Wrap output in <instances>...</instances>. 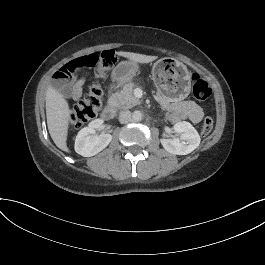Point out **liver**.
<instances>
[{
	"mask_svg": "<svg viewBox=\"0 0 265 265\" xmlns=\"http://www.w3.org/2000/svg\"><path fill=\"white\" fill-rule=\"evenodd\" d=\"M115 55L136 64H149L158 59V56H148L124 51H117ZM45 111L47 128L51 139L58 149L71 155V150L67 145V137L69 125L72 120V112L65 94L52 84H49L47 88Z\"/></svg>",
	"mask_w": 265,
	"mask_h": 265,
	"instance_id": "1",
	"label": "liver"
}]
</instances>
